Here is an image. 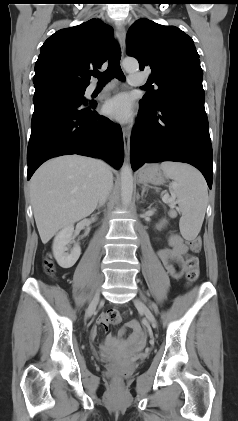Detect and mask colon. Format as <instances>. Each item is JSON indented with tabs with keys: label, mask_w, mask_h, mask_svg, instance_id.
<instances>
[{
	"label": "colon",
	"mask_w": 238,
	"mask_h": 421,
	"mask_svg": "<svg viewBox=\"0 0 238 421\" xmlns=\"http://www.w3.org/2000/svg\"><path fill=\"white\" fill-rule=\"evenodd\" d=\"M187 245L192 251H198L201 247V239L199 237L188 238ZM184 267H185L186 278L188 282L192 283L196 281L199 277V272H200L198 258L194 255L189 256L185 261ZM45 270L48 274H53L54 272V265L50 259H47L45 262ZM110 318L113 323H116L117 321L116 314L111 315ZM115 382L118 383L119 379L115 378Z\"/></svg>",
	"instance_id": "obj_1"
}]
</instances>
